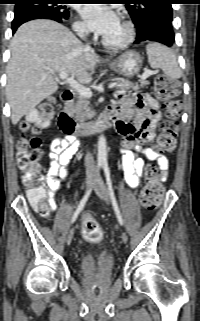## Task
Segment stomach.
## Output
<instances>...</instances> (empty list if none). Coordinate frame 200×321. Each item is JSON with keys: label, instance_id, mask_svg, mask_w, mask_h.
<instances>
[{"label": "stomach", "instance_id": "0dacf381", "mask_svg": "<svg viewBox=\"0 0 200 321\" xmlns=\"http://www.w3.org/2000/svg\"><path fill=\"white\" fill-rule=\"evenodd\" d=\"M142 62L143 59L138 52L129 50L114 59L109 67L119 75L130 78L140 71Z\"/></svg>", "mask_w": 200, "mask_h": 321}]
</instances>
